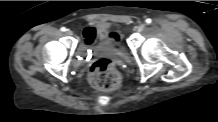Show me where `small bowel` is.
Segmentation results:
<instances>
[{
    "instance_id": "1",
    "label": "small bowel",
    "mask_w": 218,
    "mask_h": 122,
    "mask_svg": "<svg viewBox=\"0 0 218 122\" xmlns=\"http://www.w3.org/2000/svg\"><path fill=\"white\" fill-rule=\"evenodd\" d=\"M100 28L106 29L104 26H100V27L85 26L84 27V29H83V43H84V45L90 46V45L95 43V41L97 39L98 30ZM123 38H124L123 44L119 48H116V49H121L125 46L126 39L124 36H123Z\"/></svg>"
}]
</instances>
